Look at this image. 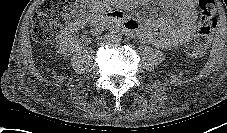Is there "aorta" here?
<instances>
[{"mask_svg": "<svg viewBox=\"0 0 227 133\" xmlns=\"http://www.w3.org/2000/svg\"><path fill=\"white\" fill-rule=\"evenodd\" d=\"M116 40H117V41L120 40V35H119V34L117 35Z\"/></svg>", "mask_w": 227, "mask_h": 133, "instance_id": "aorta-1", "label": "aorta"}]
</instances>
